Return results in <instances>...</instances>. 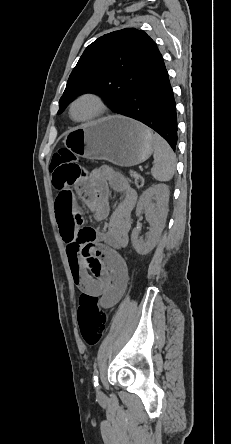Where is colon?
Masks as SVG:
<instances>
[{
	"label": "colon",
	"mask_w": 231,
	"mask_h": 444,
	"mask_svg": "<svg viewBox=\"0 0 231 444\" xmlns=\"http://www.w3.org/2000/svg\"><path fill=\"white\" fill-rule=\"evenodd\" d=\"M49 170L53 183L57 187L73 185L86 175L78 158L67 149H59L54 153ZM131 175L135 184L142 187L143 178L135 172ZM81 232L85 236L95 235V231L89 227L81 226ZM107 319V313L97 307V298L82 293L79 298L78 320L81 335L88 345L93 346L101 340L105 333Z\"/></svg>",
	"instance_id": "1"
}]
</instances>
